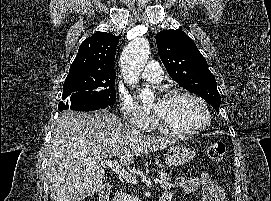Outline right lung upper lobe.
I'll use <instances>...</instances> for the list:
<instances>
[{
    "instance_id": "right-lung-upper-lobe-1",
    "label": "right lung upper lobe",
    "mask_w": 271,
    "mask_h": 201,
    "mask_svg": "<svg viewBox=\"0 0 271 201\" xmlns=\"http://www.w3.org/2000/svg\"><path fill=\"white\" fill-rule=\"evenodd\" d=\"M121 36L97 32L82 42L69 73L91 72L115 74L116 46Z\"/></svg>"
}]
</instances>
